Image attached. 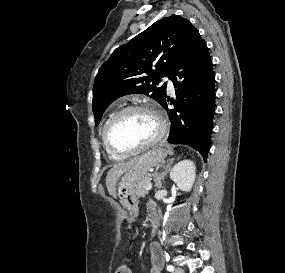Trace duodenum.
Wrapping results in <instances>:
<instances>
[{
	"mask_svg": "<svg viewBox=\"0 0 285 273\" xmlns=\"http://www.w3.org/2000/svg\"><path fill=\"white\" fill-rule=\"evenodd\" d=\"M148 216L151 224L152 234H155L159 229V216L157 210L156 209L150 210Z\"/></svg>",
	"mask_w": 285,
	"mask_h": 273,
	"instance_id": "1",
	"label": "duodenum"
}]
</instances>
